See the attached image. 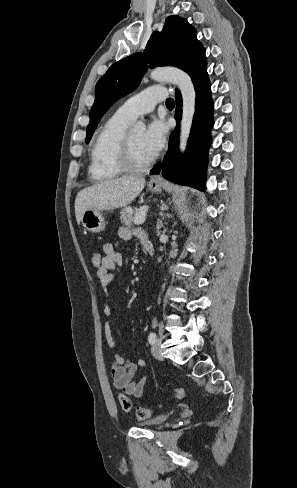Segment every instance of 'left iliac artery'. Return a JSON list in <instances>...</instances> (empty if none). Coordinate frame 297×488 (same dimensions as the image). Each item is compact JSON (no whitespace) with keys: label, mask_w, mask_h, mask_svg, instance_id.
<instances>
[{"label":"left iliac artery","mask_w":297,"mask_h":488,"mask_svg":"<svg viewBox=\"0 0 297 488\" xmlns=\"http://www.w3.org/2000/svg\"><path fill=\"white\" fill-rule=\"evenodd\" d=\"M156 333L155 332H151L148 336V341L150 344H153L155 341H156Z\"/></svg>","instance_id":"left-iliac-artery-1"}]
</instances>
